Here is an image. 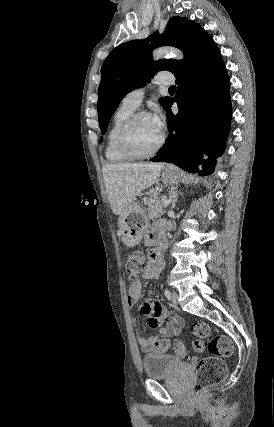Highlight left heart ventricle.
<instances>
[{
  "label": "left heart ventricle",
  "instance_id": "b2bd125f",
  "mask_svg": "<svg viewBox=\"0 0 274 427\" xmlns=\"http://www.w3.org/2000/svg\"><path fill=\"white\" fill-rule=\"evenodd\" d=\"M163 132L156 129L150 116L137 121L130 135L132 149L138 154H148L158 145Z\"/></svg>",
  "mask_w": 274,
  "mask_h": 427
}]
</instances>
